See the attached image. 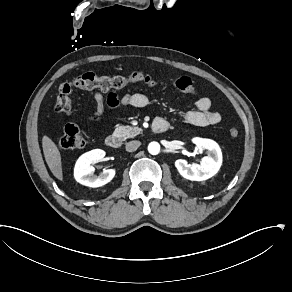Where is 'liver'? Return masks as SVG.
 <instances>
[{
	"label": "liver",
	"instance_id": "1",
	"mask_svg": "<svg viewBox=\"0 0 292 292\" xmlns=\"http://www.w3.org/2000/svg\"><path fill=\"white\" fill-rule=\"evenodd\" d=\"M42 148L45 157V161L53 174V176L59 180L63 181V171H62V159L58 146L53 142V140L44 135L42 137Z\"/></svg>",
	"mask_w": 292,
	"mask_h": 292
}]
</instances>
